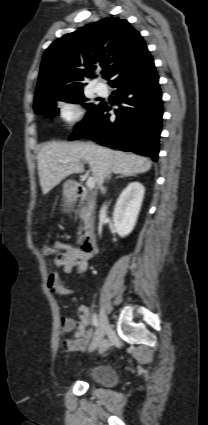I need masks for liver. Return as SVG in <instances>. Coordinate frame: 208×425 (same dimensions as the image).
Here are the masks:
<instances>
[{
	"instance_id": "1",
	"label": "liver",
	"mask_w": 208,
	"mask_h": 425,
	"mask_svg": "<svg viewBox=\"0 0 208 425\" xmlns=\"http://www.w3.org/2000/svg\"><path fill=\"white\" fill-rule=\"evenodd\" d=\"M61 159L88 162L99 187L102 186L109 170L116 174L133 176L147 172L152 165L146 157L114 151L93 143L50 142L44 145L37 155L39 181L44 195L69 175L84 171L79 162L62 164L59 162Z\"/></svg>"
}]
</instances>
